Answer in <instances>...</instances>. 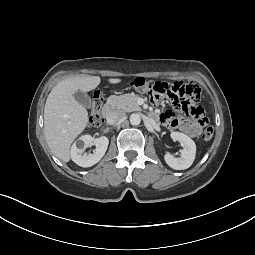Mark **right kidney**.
Here are the masks:
<instances>
[{
  "instance_id": "1",
  "label": "right kidney",
  "mask_w": 255,
  "mask_h": 255,
  "mask_svg": "<svg viewBox=\"0 0 255 255\" xmlns=\"http://www.w3.org/2000/svg\"><path fill=\"white\" fill-rule=\"evenodd\" d=\"M109 140L107 137L92 138L90 135H83L77 139L71 147L72 160L81 167H91L98 163L104 156L108 148ZM95 145L96 149L93 154L84 153L88 146Z\"/></svg>"
}]
</instances>
